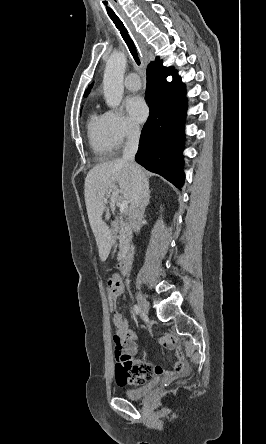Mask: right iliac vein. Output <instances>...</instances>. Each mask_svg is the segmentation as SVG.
I'll return each instance as SVG.
<instances>
[{"mask_svg":"<svg viewBox=\"0 0 266 444\" xmlns=\"http://www.w3.org/2000/svg\"><path fill=\"white\" fill-rule=\"evenodd\" d=\"M136 298H137L138 305H139L141 313L144 316H147L148 313H149V307H148V303H147L145 297L141 293L137 292L136 293Z\"/></svg>","mask_w":266,"mask_h":444,"instance_id":"1","label":"right iliac vein"}]
</instances>
